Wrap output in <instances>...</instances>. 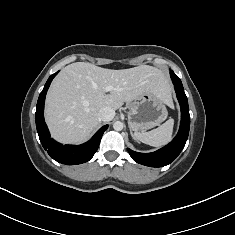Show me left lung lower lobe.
Segmentation results:
<instances>
[{
	"instance_id": "left-lung-lower-lobe-1",
	"label": "left lung lower lobe",
	"mask_w": 235,
	"mask_h": 235,
	"mask_svg": "<svg viewBox=\"0 0 235 235\" xmlns=\"http://www.w3.org/2000/svg\"><path fill=\"white\" fill-rule=\"evenodd\" d=\"M177 99L181 107L180 129L176 137L165 147L152 153H139L128 149L132 159L139 164L149 167H163L170 164L180 154L185 146L190 128V114L187 97L182 82L173 71H170Z\"/></svg>"
}]
</instances>
